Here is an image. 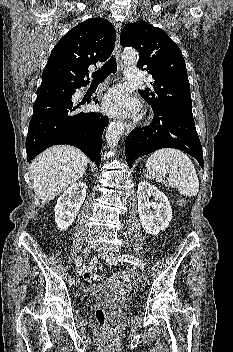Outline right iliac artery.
<instances>
[{
    "instance_id": "right-iliac-artery-1",
    "label": "right iliac artery",
    "mask_w": 233,
    "mask_h": 352,
    "mask_svg": "<svg viewBox=\"0 0 233 352\" xmlns=\"http://www.w3.org/2000/svg\"><path fill=\"white\" fill-rule=\"evenodd\" d=\"M82 263H83V259L81 257H77L75 259V264H76L77 267H80L82 265ZM74 282H75L74 279L70 277L69 278V284L72 285V284H74Z\"/></svg>"
}]
</instances>
